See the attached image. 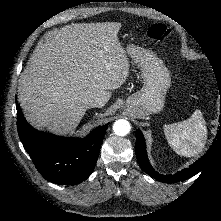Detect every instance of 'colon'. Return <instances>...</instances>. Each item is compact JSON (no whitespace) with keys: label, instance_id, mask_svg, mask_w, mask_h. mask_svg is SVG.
Masks as SVG:
<instances>
[{"label":"colon","instance_id":"1","mask_svg":"<svg viewBox=\"0 0 221 221\" xmlns=\"http://www.w3.org/2000/svg\"><path fill=\"white\" fill-rule=\"evenodd\" d=\"M145 33L150 39L163 43H167L170 39V30L162 24L151 25Z\"/></svg>","mask_w":221,"mask_h":221}]
</instances>
